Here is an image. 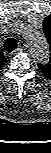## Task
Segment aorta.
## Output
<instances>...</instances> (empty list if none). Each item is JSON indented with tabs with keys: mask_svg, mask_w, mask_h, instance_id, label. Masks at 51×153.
I'll list each match as a JSON object with an SVG mask.
<instances>
[{
	"mask_svg": "<svg viewBox=\"0 0 51 153\" xmlns=\"http://www.w3.org/2000/svg\"><path fill=\"white\" fill-rule=\"evenodd\" d=\"M26 46L34 60L46 62L49 57V48L45 36L38 31L28 32L23 36Z\"/></svg>",
	"mask_w": 51,
	"mask_h": 153,
	"instance_id": "aorta-1",
	"label": "aorta"
}]
</instances>
